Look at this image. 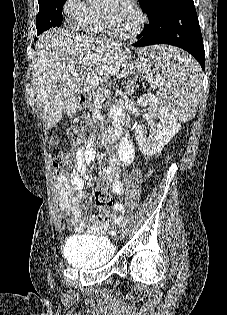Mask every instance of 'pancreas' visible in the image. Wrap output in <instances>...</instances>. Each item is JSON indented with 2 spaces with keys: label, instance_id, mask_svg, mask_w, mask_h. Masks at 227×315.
<instances>
[{
  "label": "pancreas",
  "instance_id": "cf45deb5",
  "mask_svg": "<svg viewBox=\"0 0 227 315\" xmlns=\"http://www.w3.org/2000/svg\"><path fill=\"white\" fill-rule=\"evenodd\" d=\"M147 68L146 66H134L133 69H131L127 74H125V77H129L130 75H134L135 78H138L139 74H145L147 72ZM94 79H96L97 84L96 85H90L87 84V92H88V96H89V108L91 110L94 109L95 106L101 104V101L103 100V98H98L97 94L104 92V90H106V87L103 82L101 81L99 76H95Z\"/></svg>",
  "mask_w": 227,
  "mask_h": 315
}]
</instances>
